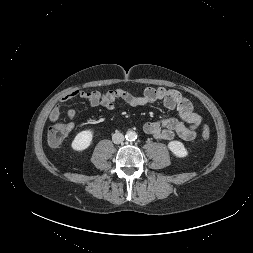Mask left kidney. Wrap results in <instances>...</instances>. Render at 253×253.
I'll list each match as a JSON object with an SVG mask.
<instances>
[{"mask_svg":"<svg viewBox=\"0 0 253 253\" xmlns=\"http://www.w3.org/2000/svg\"><path fill=\"white\" fill-rule=\"evenodd\" d=\"M168 148L176 157L183 158L188 155L187 149L185 148L184 144L180 141L169 142Z\"/></svg>","mask_w":253,"mask_h":253,"instance_id":"5707ae66","label":"left kidney"}]
</instances>
